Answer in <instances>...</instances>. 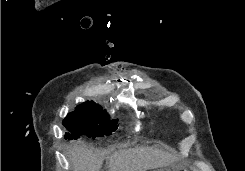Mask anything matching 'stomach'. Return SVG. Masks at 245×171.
<instances>
[{
    "label": "stomach",
    "instance_id": "stomach-1",
    "mask_svg": "<svg viewBox=\"0 0 245 171\" xmlns=\"http://www.w3.org/2000/svg\"><path fill=\"white\" fill-rule=\"evenodd\" d=\"M180 170L181 171H191L188 168H182ZM180 170H174V169H171V168H162V169H157V170H154V171H180Z\"/></svg>",
    "mask_w": 245,
    "mask_h": 171
}]
</instances>
